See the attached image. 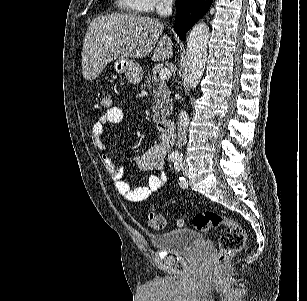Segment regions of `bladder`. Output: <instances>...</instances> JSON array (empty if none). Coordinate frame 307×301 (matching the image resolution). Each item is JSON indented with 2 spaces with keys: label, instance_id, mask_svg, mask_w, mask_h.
Listing matches in <instances>:
<instances>
[{
  "label": "bladder",
  "instance_id": "31cf9c89",
  "mask_svg": "<svg viewBox=\"0 0 307 301\" xmlns=\"http://www.w3.org/2000/svg\"><path fill=\"white\" fill-rule=\"evenodd\" d=\"M151 240L156 250L177 254L189 252L200 246L203 242V237L198 231L189 228H178L170 233L151 236Z\"/></svg>",
  "mask_w": 307,
  "mask_h": 301
}]
</instances>
